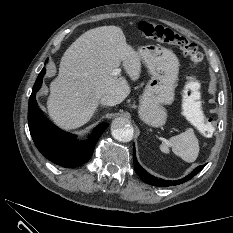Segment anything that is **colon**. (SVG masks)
Masks as SVG:
<instances>
[{"mask_svg": "<svg viewBox=\"0 0 233 233\" xmlns=\"http://www.w3.org/2000/svg\"><path fill=\"white\" fill-rule=\"evenodd\" d=\"M138 27L147 38L177 46L190 59L192 65H197L201 62L202 53L197 44L185 36L163 25L149 21L139 22ZM183 111L202 134L206 136L213 134L212 119L205 116L201 110L200 83L194 76L188 77L184 87Z\"/></svg>", "mask_w": 233, "mask_h": 233, "instance_id": "1", "label": "colon"}]
</instances>
